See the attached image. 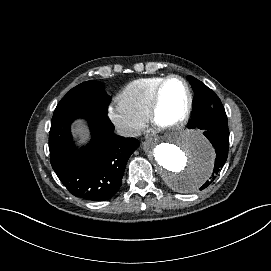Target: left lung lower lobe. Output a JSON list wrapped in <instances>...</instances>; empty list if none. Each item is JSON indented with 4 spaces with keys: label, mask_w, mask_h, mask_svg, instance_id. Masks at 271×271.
<instances>
[{
    "label": "left lung lower lobe",
    "mask_w": 271,
    "mask_h": 271,
    "mask_svg": "<svg viewBox=\"0 0 271 271\" xmlns=\"http://www.w3.org/2000/svg\"><path fill=\"white\" fill-rule=\"evenodd\" d=\"M189 129L198 128L212 143L216 151L215 166L209 181L200 188H206L218 175L228 157L229 129L227 116L222 103L207 106L200 115L188 125Z\"/></svg>",
    "instance_id": "1"
}]
</instances>
